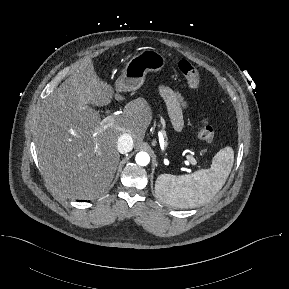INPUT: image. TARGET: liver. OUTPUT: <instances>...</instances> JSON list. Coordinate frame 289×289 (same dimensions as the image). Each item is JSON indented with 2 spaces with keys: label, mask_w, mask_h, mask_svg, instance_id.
I'll return each mask as SVG.
<instances>
[{
  "label": "liver",
  "mask_w": 289,
  "mask_h": 289,
  "mask_svg": "<svg viewBox=\"0 0 289 289\" xmlns=\"http://www.w3.org/2000/svg\"><path fill=\"white\" fill-rule=\"evenodd\" d=\"M125 97L97 75L90 58L45 100L35 125L41 172L50 187L65 197L89 200L104 193L119 163L118 138L128 133L136 144L150 125V107L142 98L126 104L112 126L104 128L93 106Z\"/></svg>",
  "instance_id": "6515ba94"
}]
</instances>
